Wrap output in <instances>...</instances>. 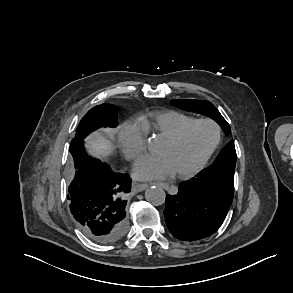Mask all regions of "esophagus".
Here are the masks:
<instances>
[{"label": "esophagus", "mask_w": 293, "mask_h": 293, "mask_svg": "<svg viewBox=\"0 0 293 293\" xmlns=\"http://www.w3.org/2000/svg\"><path fill=\"white\" fill-rule=\"evenodd\" d=\"M154 184L158 185V186H161L164 189L169 188V185L166 184V183H154ZM148 186H149L148 184L142 183V184H138L136 189H137L138 192H141V191H144Z\"/></svg>", "instance_id": "34e87169"}]
</instances>
